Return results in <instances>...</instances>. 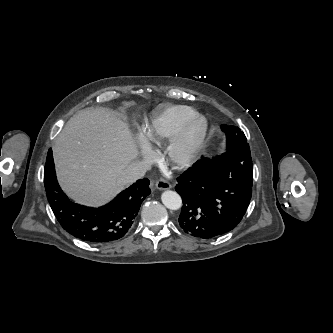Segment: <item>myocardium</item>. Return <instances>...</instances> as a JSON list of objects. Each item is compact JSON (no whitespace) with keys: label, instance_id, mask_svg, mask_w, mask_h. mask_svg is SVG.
Masks as SVG:
<instances>
[{"label":"myocardium","instance_id":"1","mask_svg":"<svg viewBox=\"0 0 333 333\" xmlns=\"http://www.w3.org/2000/svg\"><path fill=\"white\" fill-rule=\"evenodd\" d=\"M208 128V119L200 113L183 122L167 150L168 160L174 168L184 169L195 161L205 143Z\"/></svg>","mask_w":333,"mask_h":333}]
</instances>
